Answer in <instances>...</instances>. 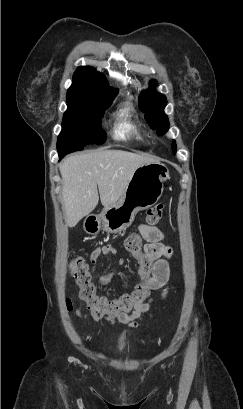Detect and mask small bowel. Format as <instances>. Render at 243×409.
Returning a JSON list of instances; mask_svg holds the SVG:
<instances>
[{"label":"small bowel","instance_id":"small-bowel-1","mask_svg":"<svg viewBox=\"0 0 243 409\" xmlns=\"http://www.w3.org/2000/svg\"><path fill=\"white\" fill-rule=\"evenodd\" d=\"M139 232L146 244L142 256L135 257L140 264L139 276L141 280L137 287H143L148 292L160 289L161 296L166 298L169 294L168 279L170 275L168 259L172 250L163 243L164 234L158 227L140 224ZM115 254L116 249L113 246L101 245L96 247L89 256L90 264L94 267L97 279L102 285L112 281V273L100 274L97 271L99 259L105 257L107 261H110L111 256ZM147 267L149 270L145 271ZM152 303L153 299L149 298L146 302L133 305L127 311L116 315L91 309L85 318H90L93 323H119L134 328L150 312Z\"/></svg>","mask_w":243,"mask_h":409}]
</instances>
